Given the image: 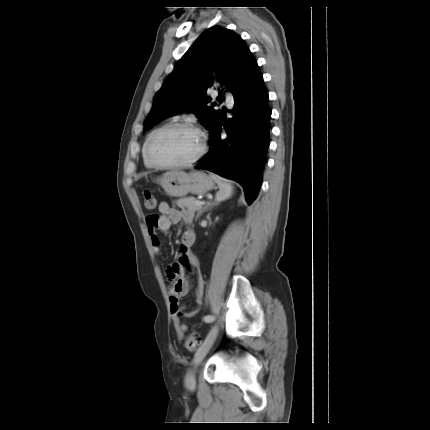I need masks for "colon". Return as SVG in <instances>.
<instances>
[{
    "instance_id": "1",
    "label": "colon",
    "mask_w": 430,
    "mask_h": 430,
    "mask_svg": "<svg viewBox=\"0 0 430 430\" xmlns=\"http://www.w3.org/2000/svg\"><path fill=\"white\" fill-rule=\"evenodd\" d=\"M145 205L148 209H153L156 206V199L150 191L144 193ZM200 338L196 334L189 335L185 340V348L193 352L198 347Z\"/></svg>"
}]
</instances>
